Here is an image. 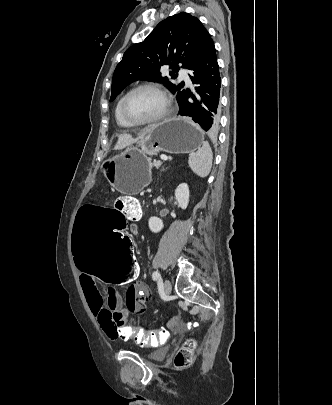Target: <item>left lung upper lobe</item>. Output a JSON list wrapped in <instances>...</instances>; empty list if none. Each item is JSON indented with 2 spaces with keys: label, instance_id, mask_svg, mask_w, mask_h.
<instances>
[{
  "label": "left lung upper lobe",
  "instance_id": "obj_1",
  "mask_svg": "<svg viewBox=\"0 0 332 405\" xmlns=\"http://www.w3.org/2000/svg\"><path fill=\"white\" fill-rule=\"evenodd\" d=\"M213 44L198 18L185 12L168 17L143 42L134 44L124 53L114 71L110 101L137 80L163 82L178 98L185 92L184 83L176 86L162 77L161 66L169 65L171 76L178 72L179 63L192 70Z\"/></svg>",
  "mask_w": 332,
  "mask_h": 405
}]
</instances>
